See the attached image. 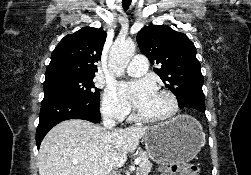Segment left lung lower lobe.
I'll use <instances>...</instances> for the list:
<instances>
[{
    "label": "left lung lower lobe",
    "mask_w": 251,
    "mask_h": 175,
    "mask_svg": "<svg viewBox=\"0 0 251 175\" xmlns=\"http://www.w3.org/2000/svg\"><path fill=\"white\" fill-rule=\"evenodd\" d=\"M179 106L191 117H199L205 113V104L179 103Z\"/></svg>",
    "instance_id": "1"
}]
</instances>
